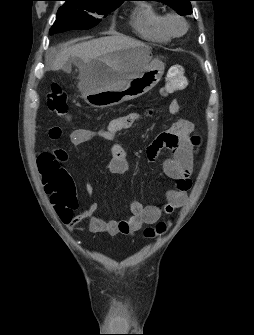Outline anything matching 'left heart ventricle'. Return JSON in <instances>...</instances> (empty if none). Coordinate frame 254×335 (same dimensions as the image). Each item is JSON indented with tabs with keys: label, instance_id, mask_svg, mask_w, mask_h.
<instances>
[{
	"label": "left heart ventricle",
	"instance_id": "left-heart-ventricle-1",
	"mask_svg": "<svg viewBox=\"0 0 254 335\" xmlns=\"http://www.w3.org/2000/svg\"><path fill=\"white\" fill-rule=\"evenodd\" d=\"M173 29L176 31V32H181L183 30V25L179 22H174L173 23Z\"/></svg>",
	"mask_w": 254,
	"mask_h": 335
}]
</instances>
